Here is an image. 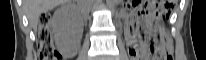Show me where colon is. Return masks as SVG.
Returning a JSON list of instances; mask_svg holds the SVG:
<instances>
[{"label": "colon", "mask_w": 206, "mask_h": 60, "mask_svg": "<svg viewBox=\"0 0 206 60\" xmlns=\"http://www.w3.org/2000/svg\"><path fill=\"white\" fill-rule=\"evenodd\" d=\"M174 0L162 1L159 7L153 9L156 14H168L173 8ZM50 15L47 13L39 17L38 24V49L39 56L42 60H59L61 56L53 45V37L50 31ZM146 50L150 60H170L171 59V43L165 36L152 35L146 43Z\"/></svg>", "instance_id": "obj_1"}]
</instances>
